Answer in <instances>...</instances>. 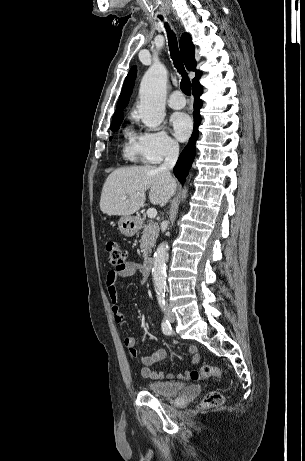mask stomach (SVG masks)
<instances>
[{
    "mask_svg": "<svg viewBox=\"0 0 305 461\" xmlns=\"http://www.w3.org/2000/svg\"><path fill=\"white\" fill-rule=\"evenodd\" d=\"M118 228L123 235L131 237L138 231L137 219L132 216H122L118 221Z\"/></svg>",
    "mask_w": 305,
    "mask_h": 461,
    "instance_id": "stomach-1",
    "label": "stomach"
}]
</instances>
